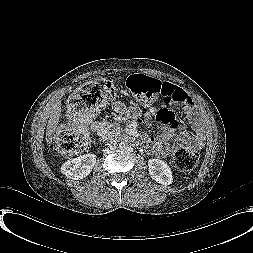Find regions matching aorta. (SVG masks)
Instances as JSON below:
<instances>
[{"instance_id": "1", "label": "aorta", "mask_w": 253, "mask_h": 253, "mask_svg": "<svg viewBox=\"0 0 253 253\" xmlns=\"http://www.w3.org/2000/svg\"><path fill=\"white\" fill-rule=\"evenodd\" d=\"M118 147L120 150H125L126 147H127V144L124 142V141H121L119 144H118Z\"/></svg>"}]
</instances>
